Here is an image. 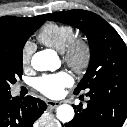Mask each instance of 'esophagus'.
<instances>
[{
  "label": "esophagus",
  "instance_id": "34e87169",
  "mask_svg": "<svg viewBox=\"0 0 127 127\" xmlns=\"http://www.w3.org/2000/svg\"><path fill=\"white\" fill-rule=\"evenodd\" d=\"M46 104L49 109H56L59 106L60 102L47 100Z\"/></svg>",
  "mask_w": 127,
  "mask_h": 127
}]
</instances>
